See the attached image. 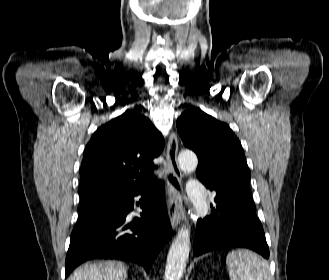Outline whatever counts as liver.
Segmentation results:
<instances>
[{
  "instance_id": "liver-1",
  "label": "liver",
  "mask_w": 329,
  "mask_h": 280,
  "mask_svg": "<svg viewBox=\"0 0 329 280\" xmlns=\"http://www.w3.org/2000/svg\"><path fill=\"white\" fill-rule=\"evenodd\" d=\"M126 266L117 261L86 263L77 269L68 280H125Z\"/></svg>"
}]
</instances>
